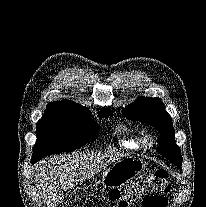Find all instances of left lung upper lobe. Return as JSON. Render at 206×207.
Returning <instances> with one entry per match:
<instances>
[{"label": "left lung upper lobe", "instance_id": "obj_1", "mask_svg": "<svg viewBox=\"0 0 206 207\" xmlns=\"http://www.w3.org/2000/svg\"><path fill=\"white\" fill-rule=\"evenodd\" d=\"M123 116L128 117L132 121L139 120L148 123L159 130L158 152L173 162L177 167H181L182 156L180 148L175 143V131L172 125V118L165 111V107L160 99L139 97L125 107Z\"/></svg>", "mask_w": 206, "mask_h": 207}]
</instances>
